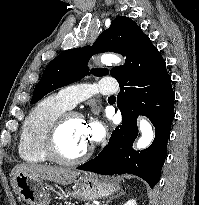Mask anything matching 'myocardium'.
Here are the masks:
<instances>
[{
  "instance_id": "1",
  "label": "myocardium",
  "mask_w": 199,
  "mask_h": 205,
  "mask_svg": "<svg viewBox=\"0 0 199 205\" xmlns=\"http://www.w3.org/2000/svg\"><path fill=\"white\" fill-rule=\"evenodd\" d=\"M72 118L84 120V117L79 112L73 110H66L59 114L47 128L42 141V149L46 157L58 164L73 165L88 159L92 152L93 146L89 145L82 153L74 157L64 156L58 147V138L60 131L67 121Z\"/></svg>"
}]
</instances>
